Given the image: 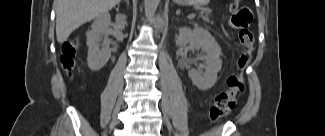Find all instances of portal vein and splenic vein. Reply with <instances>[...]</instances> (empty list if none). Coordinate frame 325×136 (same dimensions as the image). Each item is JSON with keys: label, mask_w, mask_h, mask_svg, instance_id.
<instances>
[{"label": "portal vein and splenic vein", "mask_w": 325, "mask_h": 136, "mask_svg": "<svg viewBox=\"0 0 325 136\" xmlns=\"http://www.w3.org/2000/svg\"><path fill=\"white\" fill-rule=\"evenodd\" d=\"M193 17H195V14H194V13H192V14H190V15L188 16V18H193Z\"/></svg>", "instance_id": "obj_1"}]
</instances>
